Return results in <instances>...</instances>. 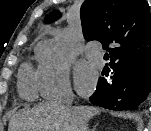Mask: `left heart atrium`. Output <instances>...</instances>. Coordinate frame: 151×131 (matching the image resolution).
<instances>
[{
    "instance_id": "obj_1",
    "label": "left heart atrium",
    "mask_w": 151,
    "mask_h": 131,
    "mask_svg": "<svg viewBox=\"0 0 151 131\" xmlns=\"http://www.w3.org/2000/svg\"><path fill=\"white\" fill-rule=\"evenodd\" d=\"M94 72L84 63H80L75 72L76 87L79 92L86 94L90 92L95 84Z\"/></svg>"
}]
</instances>
